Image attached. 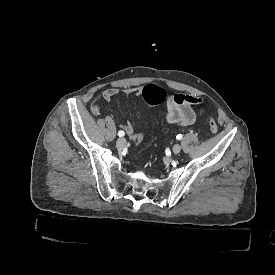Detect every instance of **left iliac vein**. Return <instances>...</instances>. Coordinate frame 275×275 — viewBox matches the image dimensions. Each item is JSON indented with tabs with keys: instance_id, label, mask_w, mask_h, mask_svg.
<instances>
[{
	"instance_id": "left-iliac-vein-1",
	"label": "left iliac vein",
	"mask_w": 275,
	"mask_h": 275,
	"mask_svg": "<svg viewBox=\"0 0 275 275\" xmlns=\"http://www.w3.org/2000/svg\"><path fill=\"white\" fill-rule=\"evenodd\" d=\"M172 151L174 154H178L181 151V145L180 144H175L172 148Z\"/></svg>"
}]
</instances>
